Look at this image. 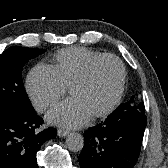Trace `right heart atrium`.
Returning <instances> with one entry per match:
<instances>
[{
    "label": "right heart atrium",
    "mask_w": 168,
    "mask_h": 168,
    "mask_svg": "<svg viewBox=\"0 0 168 168\" xmlns=\"http://www.w3.org/2000/svg\"><path fill=\"white\" fill-rule=\"evenodd\" d=\"M26 91L36 110L43 112L65 93L66 86L54 66L38 64L27 75Z\"/></svg>",
    "instance_id": "d8ad5b80"
}]
</instances>
